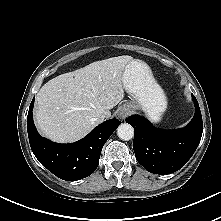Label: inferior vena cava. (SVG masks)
Returning a JSON list of instances; mask_svg holds the SVG:
<instances>
[{
    "mask_svg": "<svg viewBox=\"0 0 221 221\" xmlns=\"http://www.w3.org/2000/svg\"><path fill=\"white\" fill-rule=\"evenodd\" d=\"M105 117H106L105 115H101V116L98 118V121H99V122H102V121L105 119Z\"/></svg>",
    "mask_w": 221,
    "mask_h": 221,
    "instance_id": "1",
    "label": "inferior vena cava"
}]
</instances>
